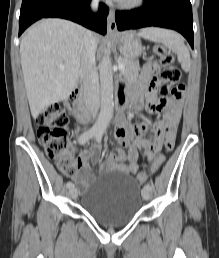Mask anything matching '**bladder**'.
<instances>
[{
  "mask_svg": "<svg viewBox=\"0 0 219 258\" xmlns=\"http://www.w3.org/2000/svg\"><path fill=\"white\" fill-rule=\"evenodd\" d=\"M141 207L139 185L131 176L117 170L94 176L81 196L82 210L110 227L129 223Z\"/></svg>",
  "mask_w": 219,
  "mask_h": 258,
  "instance_id": "bladder-1",
  "label": "bladder"
}]
</instances>
